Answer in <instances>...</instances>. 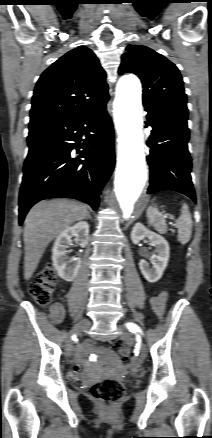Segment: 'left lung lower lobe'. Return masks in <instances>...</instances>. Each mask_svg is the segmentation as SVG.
<instances>
[{"label":"left lung lower lobe","mask_w":212,"mask_h":438,"mask_svg":"<svg viewBox=\"0 0 212 438\" xmlns=\"http://www.w3.org/2000/svg\"><path fill=\"white\" fill-rule=\"evenodd\" d=\"M146 111V125L152 127L147 143L151 147L148 156L150 186L147 193L173 190L196 201L190 175L192 163L187 147V119Z\"/></svg>","instance_id":"0a47b994"}]
</instances>
